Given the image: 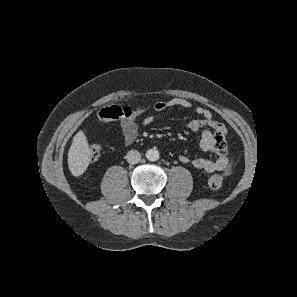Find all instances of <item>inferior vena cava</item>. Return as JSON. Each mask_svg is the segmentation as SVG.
I'll use <instances>...</instances> for the list:
<instances>
[{
    "label": "inferior vena cava",
    "mask_w": 297,
    "mask_h": 297,
    "mask_svg": "<svg viewBox=\"0 0 297 297\" xmlns=\"http://www.w3.org/2000/svg\"><path fill=\"white\" fill-rule=\"evenodd\" d=\"M126 159L130 164H136L141 160V154L137 150H131L128 152Z\"/></svg>",
    "instance_id": "inferior-vena-cava-1"
}]
</instances>
